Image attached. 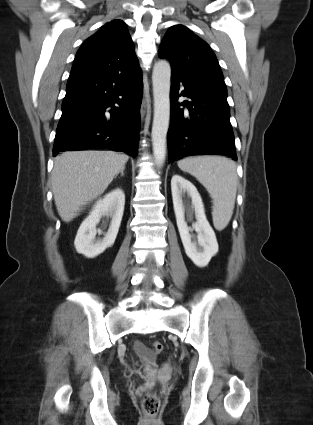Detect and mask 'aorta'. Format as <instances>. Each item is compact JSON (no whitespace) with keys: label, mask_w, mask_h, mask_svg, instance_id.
Listing matches in <instances>:
<instances>
[{"label":"aorta","mask_w":313,"mask_h":425,"mask_svg":"<svg viewBox=\"0 0 313 425\" xmlns=\"http://www.w3.org/2000/svg\"><path fill=\"white\" fill-rule=\"evenodd\" d=\"M154 117L152 144L155 162L161 167L166 157V137L170 120L171 66L166 60L155 63L152 72Z\"/></svg>","instance_id":"1"}]
</instances>
